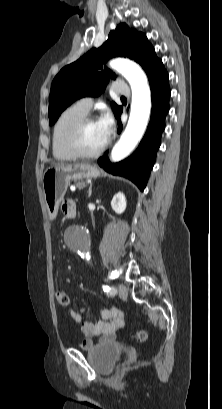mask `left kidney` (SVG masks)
Masks as SVG:
<instances>
[{
	"label": "left kidney",
	"instance_id": "5707ae66",
	"mask_svg": "<svg viewBox=\"0 0 222 409\" xmlns=\"http://www.w3.org/2000/svg\"><path fill=\"white\" fill-rule=\"evenodd\" d=\"M111 207L117 214H122L126 209V198L123 193H117L112 201Z\"/></svg>",
	"mask_w": 222,
	"mask_h": 409
}]
</instances>
